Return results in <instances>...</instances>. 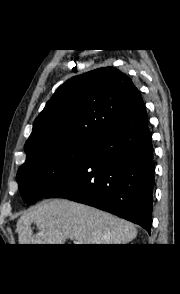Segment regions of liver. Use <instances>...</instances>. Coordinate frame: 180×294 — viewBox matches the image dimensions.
Segmentation results:
<instances>
[{
	"label": "liver",
	"mask_w": 180,
	"mask_h": 294,
	"mask_svg": "<svg viewBox=\"0 0 180 294\" xmlns=\"http://www.w3.org/2000/svg\"><path fill=\"white\" fill-rule=\"evenodd\" d=\"M38 228L33 233L31 225ZM19 244H127L136 227L99 209L66 199H53L24 212L17 222Z\"/></svg>",
	"instance_id": "1"
}]
</instances>
